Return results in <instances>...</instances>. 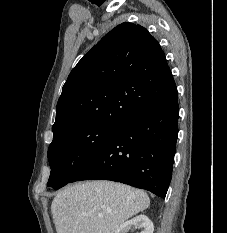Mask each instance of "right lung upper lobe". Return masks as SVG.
I'll return each mask as SVG.
<instances>
[{
	"instance_id": "1",
	"label": "right lung upper lobe",
	"mask_w": 227,
	"mask_h": 233,
	"mask_svg": "<svg viewBox=\"0 0 227 233\" xmlns=\"http://www.w3.org/2000/svg\"><path fill=\"white\" fill-rule=\"evenodd\" d=\"M174 88L158 41L144 27L122 23L69 74L57 103L53 135L84 125H121Z\"/></svg>"
}]
</instances>
